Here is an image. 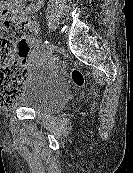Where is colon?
Returning a JSON list of instances; mask_svg holds the SVG:
<instances>
[{
    "mask_svg": "<svg viewBox=\"0 0 133 173\" xmlns=\"http://www.w3.org/2000/svg\"><path fill=\"white\" fill-rule=\"evenodd\" d=\"M30 31L31 23L28 20L16 19L7 8L0 12L1 107L12 105L23 87L27 74L24 61L30 51L26 37ZM72 79L79 86L84 82L83 74L79 70H73Z\"/></svg>",
    "mask_w": 133,
    "mask_h": 173,
    "instance_id": "colon-1",
    "label": "colon"
}]
</instances>
